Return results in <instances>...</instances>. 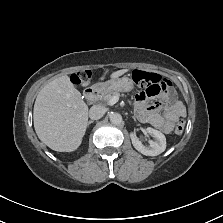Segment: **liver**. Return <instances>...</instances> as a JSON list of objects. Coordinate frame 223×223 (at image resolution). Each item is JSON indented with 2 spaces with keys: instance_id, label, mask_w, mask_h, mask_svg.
<instances>
[{
  "instance_id": "obj_1",
  "label": "liver",
  "mask_w": 223,
  "mask_h": 223,
  "mask_svg": "<svg viewBox=\"0 0 223 223\" xmlns=\"http://www.w3.org/2000/svg\"><path fill=\"white\" fill-rule=\"evenodd\" d=\"M127 70L113 74L118 77ZM88 106L81 93L63 76L44 86L34 105V126L37 135L56 151H73L85 133Z\"/></svg>"
}]
</instances>
